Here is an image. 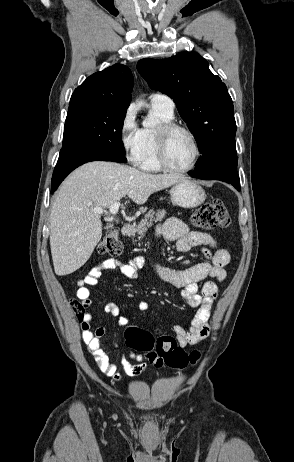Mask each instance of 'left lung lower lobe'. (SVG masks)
I'll return each instance as SVG.
<instances>
[{
    "label": "left lung lower lobe",
    "instance_id": "left-lung-lower-lobe-1",
    "mask_svg": "<svg viewBox=\"0 0 294 462\" xmlns=\"http://www.w3.org/2000/svg\"><path fill=\"white\" fill-rule=\"evenodd\" d=\"M190 176L200 179H216L233 185L240 191L237 173L236 148H225L215 153L202 156Z\"/></svg>",
    "mask_w": 294,
    "mask_h": 462
}]
</instances>
